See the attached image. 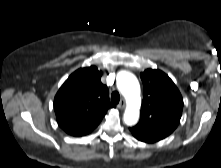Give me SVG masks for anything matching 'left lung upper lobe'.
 I'll use <instances>...</instances> for the list:
<instances>
[{
    "instance_id": "obj_1",
    "label": "left lung upper lobe",
    "mask_w": 221,
    "mask_h": 168,
    "mask_svg": "<svg viewBox=\"0 0 221 168\" xmlns=\"http://www.w3.org/2000/svg\"><path fill=\"white\" fill-rule=\"evenodd\" d=\"M140 77L144 88L141 115L139 123L131 131L164 139L179 124L182 96L168 75L160 70L147 69Z\"/></svg>"
}]
</instances>
